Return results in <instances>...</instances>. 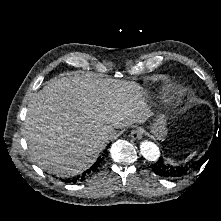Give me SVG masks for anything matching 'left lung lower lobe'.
<instances>
[{
    "instance_id": "1",
    "label": "left lung lower lobe",
    "mask_w": 221,
    "mask_h": 221,
    "mask_svg": "<svg viewBox=\"0 0 221 221\" xmlns=\"http://www.w3.org/2000/svg\"><path fill=\"white\" fill-rule=\"evenodd\" d=\"M207 155L205 154L199 160L184 165H174L160 157L158 161L151 165V168L155 174L161 177L170 179L180 178L195 171L206 160Z\"/></svg>"
}]
</instances>
